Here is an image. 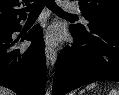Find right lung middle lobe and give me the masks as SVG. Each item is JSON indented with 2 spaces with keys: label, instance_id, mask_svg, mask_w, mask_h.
<instances>
[{
  "label": "right lung middle lobe",
  "instance_id": "obj_1",
  "mask_svg": "<svg viewBox=\"0 0 119 95\" xmlns=\"http://www.w3.org/2000/svg\"><path fill=\"white\" fill-rule=\"evenodd\" d=\"M10 28H12V27H9V28H0V33L5 32V31L9 30Z\"/></svg>",
  "mask_w": 119,
  "mask_h": 95
}]
</instances>
